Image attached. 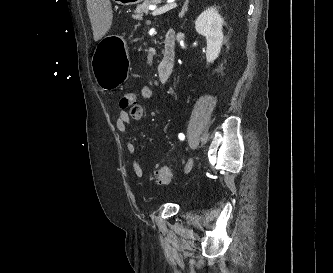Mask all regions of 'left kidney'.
Listing matches in <instances>:
<instances>
[{
    "mask_svg": "<svg viewBox=\"0 0 333 273\" xmlns=\"http://www.w3.org/2000/svg\"><path fill=\"white\" fill-rule=\"evenodd\" d=\"M223 24L224 20L215 7L203 11L195 21L197 33L206 37V60L208 63H212L221 51L224 38Z\"/></svg>",
    "mask_w": 333,
    "mask_h": 273,
    "instance_id": "1",
    "label": "left kidney"
}]
</instances>
